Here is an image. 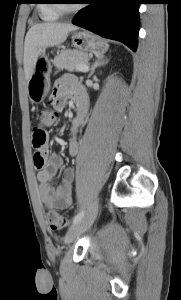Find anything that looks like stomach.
Returning <instances> with one entry per match:
<instances>
[{"label": "stomach", "instance_id": "0dacf381", "mask_svg": "<svg viewBox=\"0 0 181 300\" xmlns=\"http://www.w3.org/2000/svg\"><path fill=\"white\" fill-rule=\"evenodd\" d=\"M73 47L83 53L103 55L109 48L107 42L90 32H76L72 35ZM51 63L44 51L40 52L28 81V95L33 103L42 102L50 90Z\"/></svg>", "mask_w": 181, "mask_h": 300}]
</instances>
